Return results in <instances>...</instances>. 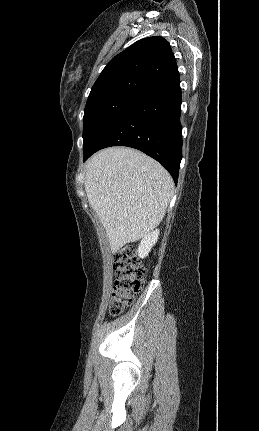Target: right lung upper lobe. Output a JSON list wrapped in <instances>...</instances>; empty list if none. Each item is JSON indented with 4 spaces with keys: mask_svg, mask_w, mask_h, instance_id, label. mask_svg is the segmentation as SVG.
Returning a JSON list of instances; mask_svg holds the SVG:
<instances>
[{
    "mask_svg": "<svg viewBox=\"0 0 259 431\" xmlns=\"http://www.w3.org/2000/svg\"><path fill=\"white\" fill-rule=\"evenodd\" d=\"M179 77L169 43L159 36L141 39L116 55L103 69L90 94L139 81L150 89Z\"/></svg>",
    "mask_w": 259,
    "mask_h": 431,
    "instance_id": "1",
    "label": "right lung upper lobe"
}]
</instances>
